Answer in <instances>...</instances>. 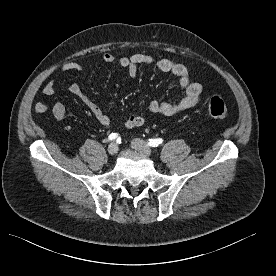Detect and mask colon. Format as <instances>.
I'll list each match as a JSON object with an SVG mask.
<instances>
[{
  "label": "colon",
  "mask_w": 276,
  "mask_h": 276,
  "mask_svg": "<svg viewBox=\"0 0 276 276\" xmlns=\"http://www.w3.org/2000/svg\"><path fill=\"white\" fill-rule=\"evenodd\" d=\"M208 112L210 116L216 119L223 120L228 116V109L225 101L218 96L210 99L208 103Z\"/></svg>",
  "instance_id": "5ec220e1"
}]
</instances>
